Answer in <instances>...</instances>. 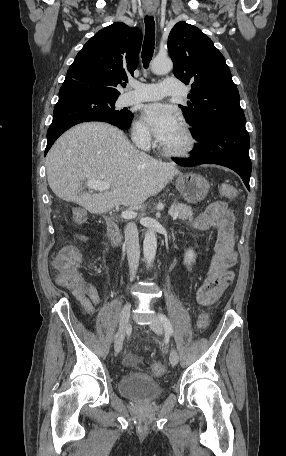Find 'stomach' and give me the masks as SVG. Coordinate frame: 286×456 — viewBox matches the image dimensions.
Wrapping results in <instances>:
<instances>
[{
  "label": "stomach",
  "mask_w": 286,
  "mask_h": 456,
  "mask_svg": "<svg viewBox=\"0 0 286 456\" xmlns=\"http://www.w3.org/2000/svg\"><path fill=\"white\" fill-rule=\"evenodd\" d=\"M176 187L184 200L192 204L202 201L209 191L207 180L196 173H187L179 176L176 179Z\"/></svg>",
  "instance_id": "0dacf381"
}]
</instances>
